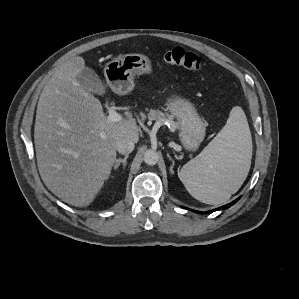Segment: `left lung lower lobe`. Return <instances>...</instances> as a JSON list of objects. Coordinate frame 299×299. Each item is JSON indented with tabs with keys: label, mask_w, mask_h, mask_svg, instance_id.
Listing matches in <instances>:
<instances>
[{
	"label": "left lung lower lobe",
	"mask_w": 299,
	"mask_h": 299,
	"mask_svg": "<svg viewBox=\"0 0 299 299\" xmlns=\"http://www.w3.org/2000/svg\"><path fill=\"white\" fill-rule=\"evenodd\" d=\"M239 199H240V197L237 198L236 200H234L233 202L229 203V204H226V205H224V206H222V207L216 208V209L211 210V211H207V212H205V213H212V212H214V211H218V210H225V209L231 207L232 205H234ZM183 208H185V207H183ZM185 209H188V208H185ZM188 210H189V209H188ZM192 211H194V210H192ZM194 212H197V211H194Z\"/></svg>",
	"instance_id": "obj_1"
}]
</instances>
